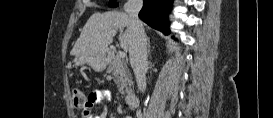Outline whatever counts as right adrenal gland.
I'll return each mask as SVG.
<instances>
[{
    "label": "right adrenal gland",
    "instance_id": "obj_1",
    "mask_svg": "<svg viewBox=\"0 0 273 118\" xmlns=\"http://www.w3.org/2000/svg\"><path fill=\"white\" fill-rule=\"evenodd\" d=\"M147 45H148V54L151 53V48H150V39H147Z\"/></svg>",
    "mask_w": 273,
    "mask_h": 118
}]
</instances>
